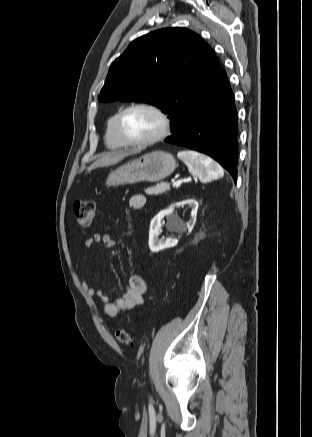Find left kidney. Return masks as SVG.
<instances>
[{
	"label": "left kidney",
	"instance_id": "obj_1",
	"mask_svg": "<svg viewBox=\"0 0 312 437\" xmlns=\"http://www.w3.org/2000/svg\"><path fill=\"white\" fill-rule=\"evenodd\" d=\"M180 205H189L192 208L190 220L185 223L173 213L174 208ZM198 202L195 199H187L181 202L171 204L168 209L160 211L151 221L149 230V248L152 252L174 247L178 244V239L174 237L162 239L159 238L161 231V221L167 216V229L170 231L182 233L186 229L191 230L196 222Z\"/></svg>",
	"mask_w": 312,
	"mask_h": 437
}]
</instances>
